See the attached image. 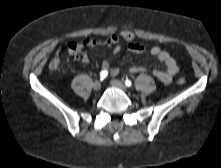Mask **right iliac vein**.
Here are the masks:
<instances>
[{
    "mask_svg": "<svg viewBox=\"0 0 221 168\" xmlns=\"http://www.w3.org/2000/svg\"><path fill=\"white\" fill-rule=\"evenodd\" d=\"M100 88H101V83H100L99 81H95V82L93 83V89H94L95 91H98V90H100Z\"/></svg>",
    "mask_w": 221,
    "mask_h": 168,
    "instance_id": "63e3f726",
    "label": "right iliac vein"
}]
</instances>
